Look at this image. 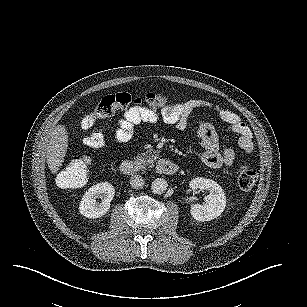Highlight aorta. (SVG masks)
<instances>
[{
    "label": "aorta",
    "instance_id": "aorta-1",
    "mask_svg": "<svg viewBox=\"0 0 307 307\" xmlns=\"http://www.w3.org/2000/svg\"><path fill=\"white\" fill-rule=\"evenodd\" d=\"M167 188L168 182L164 178H156L151 184V189L156 194H163Z\"/></svg>",
    "mask_w": 307,
    "mask_h": 307
}]
</instances>
